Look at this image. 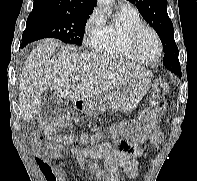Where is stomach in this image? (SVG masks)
Listing matches in <instances>:
<instances>
[{
	"label": "stomach",
	"mask_w": 197,
	"mask_h": 181,
	"mask_svg": "<svg viewBox=\"0 0 197 181\" xmlns=\"http://www.w3.org/2000/svg\"><path fill=\"white\" fill-rule=\"evenodd\" d=\"M152 84L146 76L121 90L100 93L91 98L78 101V106L89 115H98L110 109L115 112L135 110Z\"/></svg>",
	"instance_id": "1"
}]
</instances>
